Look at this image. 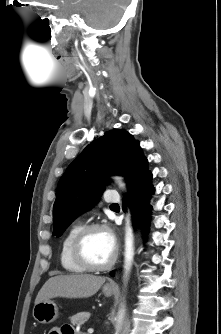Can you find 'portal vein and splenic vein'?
I'll list each match as a JSON object with an SVG mask.
<instances>
[{"label": "portal vein and splenic vein", "mask_w": 221, "mask_h": 334, "mask_svg": "<svg viewBox=\"0 0 221 334\" xmlns=\"http://www.w3.org/2000/svg\"><path fill=\"white\" fill-rule=\"evenodd\" d=\"M87 331H88V333H93L94 332L93 328H89Z\"/></svg>", "instance_id": "18ae733b"}]
</instances>
